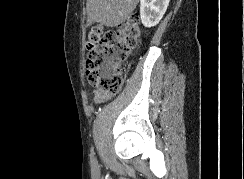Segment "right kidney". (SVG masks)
Returning a JSON list of instances; mask_svg holds the SVG:
<instances>
[{
  "mask_svg": "<svg viewBox=\"0 0 244 179\" xmlns=\"http://www.w3.org/2000/svg\"><path fill=\"white\" fill-rule=\"evenodd\" d=\"M170 0H141L140 18L145 28L157 26L163 18Z\"/></svg>",
  "mask_w": 244,
  "mask_h": 179,
  "instance_id": "obj_1",
  "label": "right kidney"
}]
</instances>
